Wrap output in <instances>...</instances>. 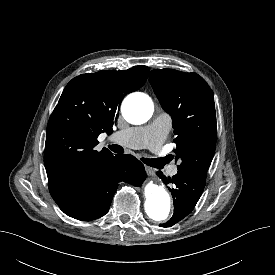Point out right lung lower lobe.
I'll return each instance as SVG.
<instances>
[{
	"label": "right lung lower lobe",
	"instance_id": "1",
	"mask_svg": "<svg viewBox=\"0 0 275 275\" xmlns=\"http://www.w3.org/2000/svg\"><path fill=\"white\" fill-rule=\"evenodd\" d=\"M145 179L144 166L134 156H110L99 167L82 176L69 195L56 203L72 218L97 219L108 212L119 182L141 186Z\"/></svg>",
	"mask_w": 275,
	"mask_h": 275
}]
</instances>
